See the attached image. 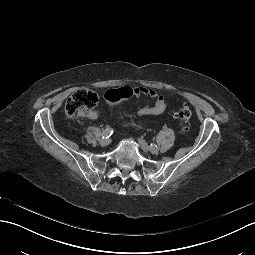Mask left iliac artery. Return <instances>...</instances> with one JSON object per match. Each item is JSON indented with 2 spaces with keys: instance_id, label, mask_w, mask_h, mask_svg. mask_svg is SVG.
Here are the masks:
<instances>
[{
  "instance_id": "1",
  "label": "left iliac artery",
  "mask_w": 255,
  "mask_h": 255,
  "mask_svg": "<svg viewBox=\"0 0 255 255\" xmlns=\"http://www.w3.org/2000/svg\"><path fill=\"white\" fill-rule=\"evenodd\" d=\"M154 147H157V145H155V144H150V146H149L150 149H152V148H154Z\"/></svg>"
}]
</instances>
